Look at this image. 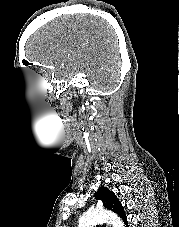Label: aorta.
Segmentation results:
<instances>
[{"label":"aorta","mask_w":179,"mask_h":227,"mask_svg":"<svg viewBox=\"0 0 179 227\" xmlns=\"http://www.w3.org/2000/svg\"><path fill=\"white\" fill-rule=\"evenodd\" d=\"M110 222L113 227H124L123 222L114 213L104 209L89 210L79 218L78 227H93L96 224Z\"/></svg>","instance_id":"obj_1"}]
</instances>
